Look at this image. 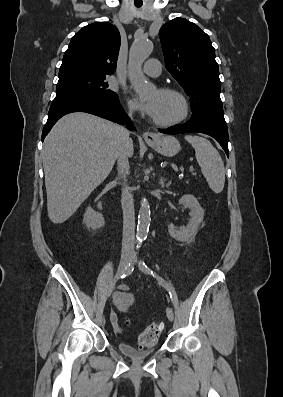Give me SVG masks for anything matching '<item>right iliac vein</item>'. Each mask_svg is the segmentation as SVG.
Instances as JSON below:
<instances>
[{"mask_svg":"<svg viewBox=\"0 0 283 397\" xmlns=\"http://www.w3.org/2000/svg\"><path fill=\"white\" fill-rule=\"evenodd\" d=\"M129 258H130V256H129L128 253H123L122 254L121 259H120V263H119V266H118V270H117V276H121L122 275V273L124 272L128 261H129ZM114 285H115V280L111 281L109 283L108 288H107V295L108 296H110V294L112 293Z\"/></svg>","mask_w":283,"mask_h":397,"instance_id":"63e3f726","label":"right iliac vein"}]
</instances>
